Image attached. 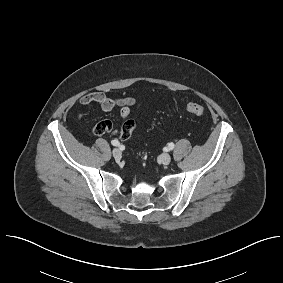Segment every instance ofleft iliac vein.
Here are the masks:
<instances>
[{
	"instance_id": "4c4485c4",
	"label": "left iliac vein",
	"mask_w": 283,
	"mask_h": 283,
	"mask_svg": "<svg viewBox=\"0 0 283 283\" xmlns=\"http://www.w3.org/2000/svg\"><path fill=\"white\" fill-rule=\"evenodd\" d=\"M159 160L163 165H168L171 162V156L168 153H164L160 156Z\"/></svg>"
}]
</instances>
